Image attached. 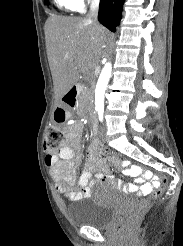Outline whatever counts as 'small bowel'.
Wrapping results in <instances>:
<instances>
[{
  "mask_svg": "<svg viewBox=\"0 0 183 246\" xmlns=\"http://www.w3.org/2000/svg\"><path fill=\"white\" fill-rule=\"evenodd\" d=\"M93 134H97V126L92 127ZM66 144L57 152V154H47L45 164L49 170L51 178L56 183L58 191L63 192L61 181H73L75 178V163L80 158L81 137L78 131L67 130ZM98 151H90L88 154V164L75 181L76 191L67 194L71 200H81L90 194V187L97 182H107L116 189L124 193L134 194L140 191L142 194H149L153 190L151 183H146V179L151 182H160L159 174H152L151 170H143V167L131 166V163L124 161L122 163L125 174L130 175L132 183L125 185L121 180L113 178L108 170L103 166L97 157ZM96 172L93 177L92 173Z\"/></svg>",
  "mask_w": 183,
  "mask_h": 246,
  "instance_id": "1",
  "label": "small bowel"
}]
</instances>
